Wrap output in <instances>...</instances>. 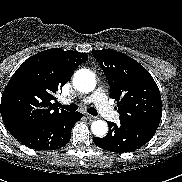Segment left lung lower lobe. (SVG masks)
<instances>
[{"label": "left lung lower lobe", "instance_id": "0a47b994", "mask_svg": "<svg viewBox=\"0 0 182 182\" xmlns=\"http://www.w3.org/2000/svg\"><path fill=\"white\" fill-rule=\"evenodd\" d=\"M109 131L104 138H93L95 145L113 152H131L145 145L155 134L157 127L145 122L120 120L117 125L108 122Z\"/></svg>", "mask_w": 182, "mask_h": 182}]
</instances>
